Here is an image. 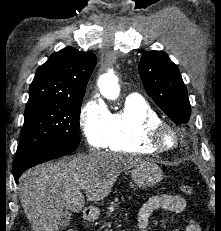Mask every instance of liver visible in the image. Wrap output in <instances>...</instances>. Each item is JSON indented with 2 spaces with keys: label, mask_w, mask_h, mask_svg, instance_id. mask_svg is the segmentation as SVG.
<instances>
[{
  "label": "liver",
  "mask_w": 221,
  "mask_h": 231,
  "mask_svg": "<svg viewBox=\"0 0 221 231\" xmlns=\"http://www.w3.org/2000/svg\"><path fill=\"white\" fill-rule=\"evenodd\" d=\"M143 160L129 155L91 152L38 165L19 178L20 201L34 231H58L64 209L80 212L88 201L104 199L118 176Z\"/></svg>",
  "instance_id": "6515ba94"
}]
</instances>
